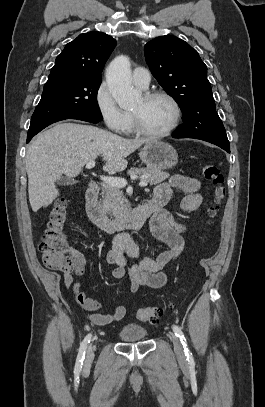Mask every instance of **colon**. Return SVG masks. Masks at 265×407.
Instances as JSON below:
<instances>
[{
  "instance_id": "1",
  "label": "colon",
  "mask_w": 265,
  "mask_h": 407,
  "mask_svg": "<svg viewBox=\"0 0 265 407\" xmlns=\"http://www.w3.org/2000/svg\"><path fill=\"white\" fill-rule=\"evenodd\" d=\"M202 174L213 186V203L207 210L208 225L212 224L219 207L226 196L224 177L219 168L213 163H203ZM68 219V201L61 198L56 201L49 212L46 230L39 245L44 265L53 270L69 271L73 268L75 254L67 243L64 226ZM163 311L157 307L138 309L136 316L139 320L155 323L162 316Z\"/></svg>"
}]
</instances>
